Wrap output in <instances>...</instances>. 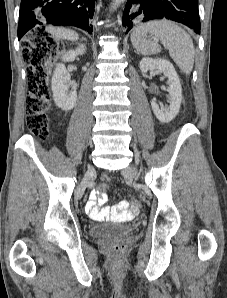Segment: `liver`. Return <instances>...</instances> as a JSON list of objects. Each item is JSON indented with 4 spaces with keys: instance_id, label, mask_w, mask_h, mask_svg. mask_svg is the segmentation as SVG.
<instances>
[{
    "instance_id": "obj_1",
    "label": "liver",
    "mask_w": 227,
    "mask_h": 298,
    "mask_svg": "<svg viewBox=\"0 0 227 298\" xmlns=\"http://www.w3.org/2000/svg\"><path fill=\"white\" fill-rule=\"evenodd\" d=\"M48 32L51 33L53 36L67 39L70 41H77L79 39V35L70 29H64V28H48Z\"/></svg>"
}]
</instances>
